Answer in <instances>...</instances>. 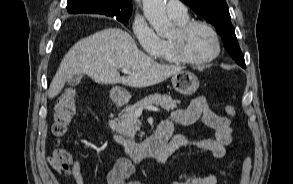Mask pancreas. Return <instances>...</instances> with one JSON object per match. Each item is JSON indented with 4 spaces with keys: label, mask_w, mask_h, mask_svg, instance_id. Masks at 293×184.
Listing matches in <instances>:
<instances>
[{
    "label": "pancreas",
    "mask_w": 293,
    "mask_h": 184,
    "mask_svg": "<svg viewBox=\"0 0 293 184\" xmlns=\"http://www.w3.org/2000/svg\"><path fill=\"white\" fill-rule=\"evenodd\" d=\"M180 101L173 100L168 95H160V94H151L145 97L144 99L136 102L135 104L129 106L120 119L116 120V130L119 134L126 137L128 140L133 141L136 132L140 129L141 122L136 117V110L138 108H144L146 106H153L157 105L161 108L169 111L174 110L177 108V104H179Z\"/></svg>",
    "instance_id": "1"
}]
</instances>
